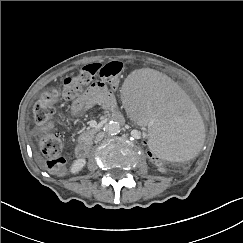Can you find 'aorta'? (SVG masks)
Wrapping results in <instances>:
<instances>
[{"label": "aorta", "instance_id": "1", "mask_svg": "<svg viewBox=\"0 0 243 243\" xmlns=\"http://www.w3.org/2000/svg\"><path fill=\"white\" fill-rule=\"evenodd\" d=\"M104 130L109 135H116L120 132L121 126L116 121H110V122L105 124Z\"/></svg>", "mask_w": 243, "mask_h": 243}]
</instances>
